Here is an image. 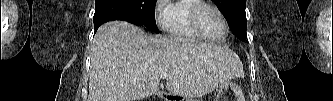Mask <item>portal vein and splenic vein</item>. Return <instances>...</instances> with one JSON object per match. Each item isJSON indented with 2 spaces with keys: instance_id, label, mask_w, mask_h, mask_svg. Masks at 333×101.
Instances as JSON below:
<instances>
[{
  "instance_id": "obj_1",
  "label": "portal vein and splenic vein",
  "mask_w": 333,
  "mask_h": 101,
  "mask_svg": "<svg viewBox=\"0 0 333 101\" xmlns=\"http://www.w3.org/2000/svg\"><path fill=\"white\" fill-rule=\"evenodd\" d=\"M160 77L162 79H169V78H171V75L170 74H161Z\"/></svg>"
}]
</instances>
